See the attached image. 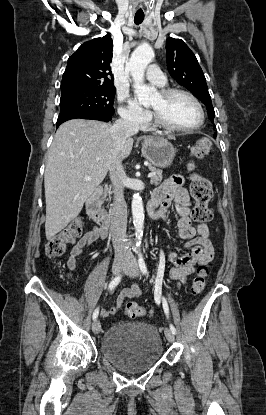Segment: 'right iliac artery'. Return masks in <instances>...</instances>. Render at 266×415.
<instances>
[{
  "label": "right iliac artery",
  "instance_id": "right-iliac-artery-1",
  "mask_svg": "<svg viewBox=\"0 0 266 415\" xmlns=\"http://www.w3.org/2000/svg\"><path fill=\"white\" fill-rule=\"evenodd\" d=\"M122 275H118L116 276L109 284V290L114 289L119 282L121 281ZM99 314V308H96L95 311L93 312V320H96Z\"/></svg>",
  "mask_w": 266,
  "mask_h": 415
}]
</instances>
